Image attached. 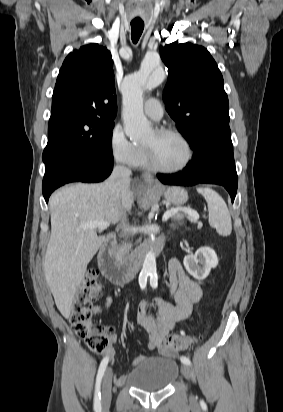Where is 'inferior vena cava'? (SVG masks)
<instances>
[{
  "mask_svg": "<svg viewBox=\"0 0 283 412\" xmlns=\"http://www.w3.org/2000/svg\"><path fill=\"white\" fill-rule=\"evenodd\" d=\"M131 175V170L125 166L122 165H117L114 167L112 174L110 176L111 181H127L130 179ZM118 228L121 231V234L124 238H129L132 236L131 229L129 225L127 224V215L125 212L122 213L121 218H120V224L118 225Z\"/></svg>",
  "mask_w": 283,
  "mask_h": 412,
  "instance_id": "602c4592",
  "label": "inferior vena cava"
}]
</instances>
